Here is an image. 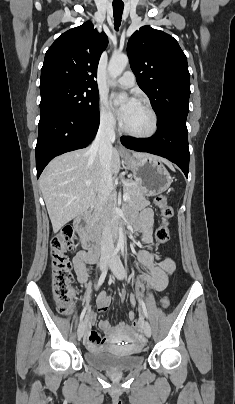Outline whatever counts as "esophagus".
Instances as JSON below:
<instances>
[{"label":"esophagus","instance_id":"obj_1","mask_svg":"<svg viewBox=\"0 0 235 404\" xmlns=\"http://www.w3.org/2000/svg\"><path fill=\"white\" fill-rule=\"evenodd\" d=\"M119 152H120V154H124V155L129 154V151L124 146H122L121 144L119 145Z\"/></svg>","mask_w":235,"mask_h":404}]
</instances>
